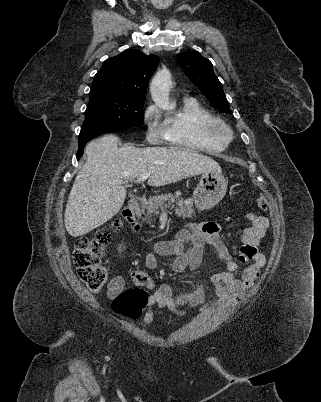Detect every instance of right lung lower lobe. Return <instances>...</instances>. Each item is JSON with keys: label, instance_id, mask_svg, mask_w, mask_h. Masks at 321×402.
I'll return each instance as SVG.
<instances>
[{"label": "right lung lower lobe", "instance_id": "98d812e1", "mask_svg": "<svg viewBox=\"0 0 321 402\" xmlns=\"http://www.w3.org/2000/svg\"><path fill=\"white\" fill-rule=\"evenodd\" d=\"M110 132H113V131H110ZM105 133H107V132H105ZM98 135H100V134H98ZM98 135L79 137V147H78V152H77V159H79L83 155L84 147L87 144V142H89L91 139L97 137Z\"/></svg>", "mask_w": 321, "mask_h": 402}]
</instances>
